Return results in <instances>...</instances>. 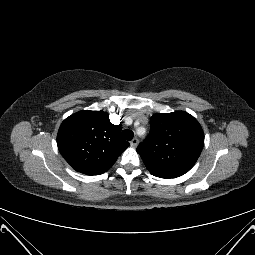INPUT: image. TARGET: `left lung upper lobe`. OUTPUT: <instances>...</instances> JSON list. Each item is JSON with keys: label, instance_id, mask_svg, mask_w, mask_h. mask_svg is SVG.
Here are the masks:
<instances>
[{"label": "left lung upper lobe", "instance_id": "obj_1", "mask_svg": "<svg viewBox=\"0 0 255 255\" xmlns=\"http://www.w3.org/2000/svg\"><path fill=\"white\" fill-rule=\"evenodd\" d=\"M151 130L137 148L149 172L160 178H176L196 163L204 146V133L189 113H157Z\"/></svg>", "mask_w": 255, "mask_h": 255}]
</instances>
